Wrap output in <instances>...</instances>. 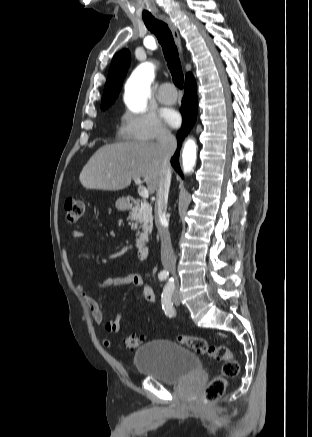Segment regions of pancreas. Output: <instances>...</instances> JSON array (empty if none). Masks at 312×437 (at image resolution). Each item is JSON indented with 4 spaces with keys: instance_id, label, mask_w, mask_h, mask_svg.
I'll use <instances>...</instances> for the list:
<instances>
[{
    "instance_id": "obj_1",
    "label": "pancreas",
    "mask_w": 312,
    "mask_h": 437,
    "mask_svg": "<svg viewBox=\"0 0 312 437\" xmlns=\"http://www.w3.org/2000/svg\"><path fill=\"white\" fill-rule=\"evenodd\" d=\"M129 218L132 221V230H136L140 224L139 228L142 229V233L138 231L136 234L139 236L137 245H144V243L148 241V234L152 232L153 228L152 207L147 202H142L136 210L129 214Z\"/></svg>"
}]
</instances>
